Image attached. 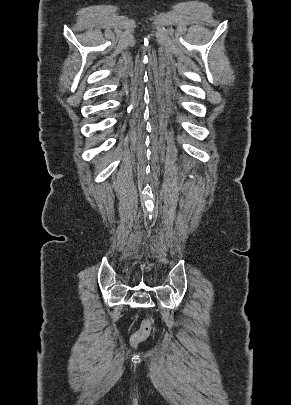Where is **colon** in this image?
I'll return each instance as SVG.
<instances>
[{
	"mask_svg": "<svg viewBox=\"0 0 291 405\" xmlns=\"http://www.w3.org/2000/svg\"><path fill=\"white\" fill-rule=\"evenodd\" d=\"M152 320L151 319H144L141 322V325L138 331L133 335L131 339V344L133 347H137L140 343L145 341L152 332Z\"/></svg>",
	"mask_w": 291,
	"mask_h": 405,
	"instance_id": "obj_1",
	"label": "colon"
}]
</instances>
